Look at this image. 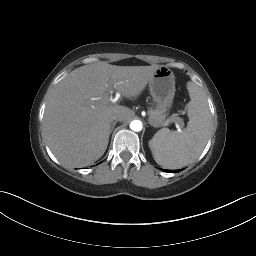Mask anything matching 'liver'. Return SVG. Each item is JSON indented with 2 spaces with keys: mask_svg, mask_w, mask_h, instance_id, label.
<instances>
[{
  "mask_svg": "<svg viewBox=\"0 0 256 256\" xmlns=\"http://www.w3.org/2000/svg\"><path fill=\"white\" fill-rule=\"evenodd\" d=\"M160 65L116 66L98 62L71 71L53 90L47 102L43 131L48 146L66 166H88L107 149L111 115L122 121L133 112L110 102L114 87L126 98H136L145 89Z\"/></svg>",
  "mask_w": 256,
  "mask_h": 256,
  "instance_id": "6515ba94",
  "label": "liver"
}]
</instances>
